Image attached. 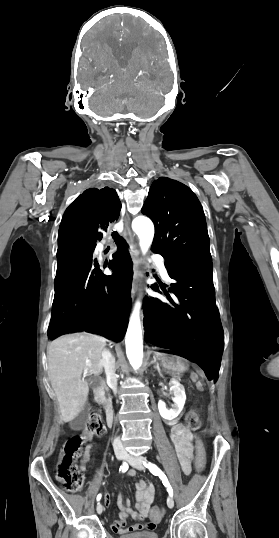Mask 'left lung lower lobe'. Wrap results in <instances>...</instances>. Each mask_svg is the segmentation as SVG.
Segmentation results:
<instances>
[{
  "mask_svg": "<svg viewBox=\"0 0 279 538\" xmlns=\"http://www.w3.org/2000/svg\"><path fill=\"white\" fill-rule=\"evenodd\" d=\"M165 266L169 276L177 281L168 290L178 299H172L161 286L168 301L145 300V338L155 346L179 351L196 360L208 380H213L220 369L223 330L215 306L212 264L186 266L165 260ZM151 288L159 290L157 284Z\"/></svg>",
  "mask_w": 279,
  "mask_h": 538,
  "instance_id": "0a47b994",
  "label": "left lung lower lobe"
}]
</instances>
